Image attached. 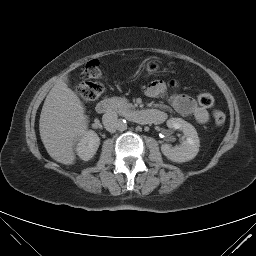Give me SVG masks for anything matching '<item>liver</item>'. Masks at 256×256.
Returning a JSON list of instances; mask_svg holds the SVG:
<instances>
[{
    "mask_svg": "<svg viewBox=\"0 0 256 256\" xmlns=\"http://www.w3.org/2000/svg\"><path fill=\"white\" fill-rule=\"evenodd\" d=\"M60 78L47 95L39 120L40 137L48 154L57 162L72 165L74 145L85 131L88 117L77 94Z\"/></svg>",
    "mask_w": 256,
    "mask_h": 256,
    "instance_id": "1",
    "label": "liver"
}]
</instances>
